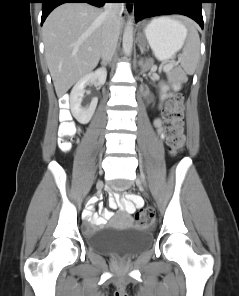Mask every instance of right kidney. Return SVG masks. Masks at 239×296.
Segmentation results:
<instances>
[{
    "mask_svg": "<svg viewBox=\"0 0 239 296\" xmlns=\"http://www.w3.org/2000/svg\"><path fill=\"white\" fill-rule=\"evenodd\" d=\"M107 71L105 68L97 69L95 72H90L80 78L74 85L70 93V108L73 116L81 124L88 123L97 106L98 98L94 97L91 103L87 107L81 106V102L85 93V87L88 84L97 83V85H103L106 81Z\"/></svg>",
    "mask_w": 239,
    "mask_h": 296,
    "instance_id": "obj_1",
    "label": "right kidney"
}]
</instances>
